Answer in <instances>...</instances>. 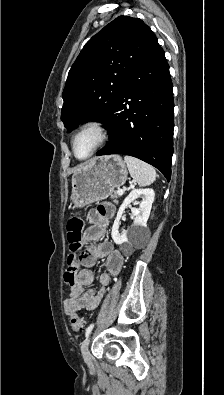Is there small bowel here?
<instances>
[{
    "mask_svg": "<svg viewBox=\"0 0 224 395\" xmlns=\"http://www.w3.org/2000/svg\"><path fill=\"white\" fill-rule=\"evenodd\" d=\"M114 214L115 207L108 203L102 204L88 213L89 227L84 233V239L93 244L87 246L81 257L85 268L76 276L71 285L69 297L64 301L66 314H72L81 309L88 311L96 309L104 295L105 288L110 284L111 276L118 275L122 269L124 255L115 248L111 241L103 239L108 222ZM101 259H105L107 269V272L99 275L101 289L85 290V287L91 285L95 280V273L90 267Z\"/></svg>",
    "mask_w": 224,
    "mask_h": 395,
    "instance_id": "c3829d8e",
    "label": "small bowel"
}]
</instances>
